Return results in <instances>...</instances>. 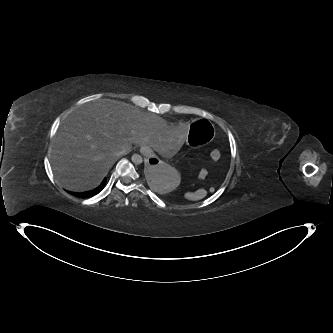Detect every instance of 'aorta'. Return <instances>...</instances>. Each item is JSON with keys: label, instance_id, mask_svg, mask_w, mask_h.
<instances>
[{"label": "aorta", "instance_id": "762f6f07", "mask_svg": "<svg viewBox=\"0 0 333 333\" xmlns=\"http://www.w3.org/2000/svg\"><path fill=\"white\" fill-rule=\"evenodd\" d=\"M131 160L135 165H140L143 162V158L139 154H133Z\"/></svg>", "mask_w": 333, "mask_h": 333}]
</instances>
